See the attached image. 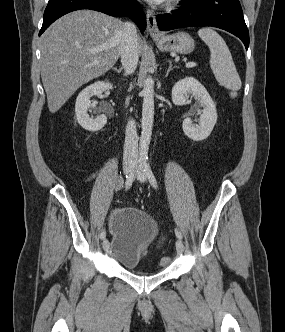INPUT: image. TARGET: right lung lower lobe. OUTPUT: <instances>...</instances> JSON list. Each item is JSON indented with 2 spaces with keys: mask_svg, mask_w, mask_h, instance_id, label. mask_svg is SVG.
I'll return each mask as SVG.
<instances>
[{
  "mask_svg": "<svg viewBox=\"0 0 285 332\" xmlns=\"http://www.w3.org/2000/svg\"><path fill=\"white\" fill-rule=\"evenodd\" d=\"M91 9L111 16L131 17L140 30L146 29V16L135 0H49L39 36L59 17L75 10Z\"/></svg>",
  "mask_w": 285,
  "mask_h": 332,
  "instance_id": "98d812e1",
  "label": "right lung lower lobe"
}]
</instances>
